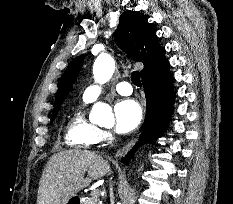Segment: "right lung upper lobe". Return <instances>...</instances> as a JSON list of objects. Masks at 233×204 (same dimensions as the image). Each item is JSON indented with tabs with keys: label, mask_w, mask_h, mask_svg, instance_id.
I'll use <instances>...</instances> for the list:
<instances>
[{
	"label": "right lung upper lobe",
	"mask_w": 233,
	"mask_h": 204,
	"mask_svg": "<svg viewBox=\"0 0 233 204\" xmlns=\"http://www.w3.org/2000/svg\"><path fill=\"white\" fill-rule=\"evenodd\" d=\"M116 44L134 61L142 62L141 77L159 69L168 62L151 23L136 11L121 14L114 34ZM83 56L75 58L67 67L55 97L52 118L56 117L62 102L72 88L83 64Z\"/></svg>",
	"instance_id": "cb5924a9"
}]
</instances>
